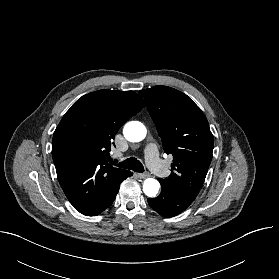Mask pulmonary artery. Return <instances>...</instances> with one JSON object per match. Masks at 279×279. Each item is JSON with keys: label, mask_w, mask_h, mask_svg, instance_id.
<instances>
[{"label": "pulmonary artery", "mask_w": 279, "mask_h": 279, "mask_svg": "<svg viewBox=\"0 0 279 279\" xmlns=\"http://www.w3.org/2000/svg\"><path fill=\"white\" fill-rule=\"evenodd\" d=\"M144 152L149 167L157 173H162L163 164L159 159V154H158V149L156 144L154 143L148 144Z\"/></svg>", "instance_id": "pulmonary-artery-1"}]
</instances>
